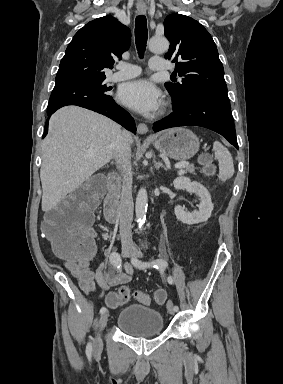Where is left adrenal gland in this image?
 <instances>
[{"mask_svg":"<svg viewBox=\"0 0 283 384\" xmlns=\"http://www.w3.org/2000/svg\"><path fill=\"white\" fill-rule=\"evenodd\" d=\"M156 160V158H155ZM155 168L156 170H159V168H164V170H169L168 166H164V164H162V162H155Z\"/></svg>","mask_w":283,"mask_h":384,"instance_id":"left-adrenal-gland-1","label":"left adrenal gland"}]
</instances>
